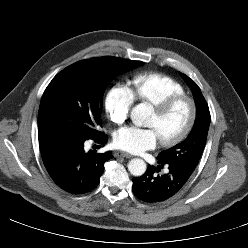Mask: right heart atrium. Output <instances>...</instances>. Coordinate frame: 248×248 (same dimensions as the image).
Masks as SVG:
<instances>
[{"instance_id":"1","label":"right heart atrium","mask_w":248,"mask_h":248,"mask_svg":"<svg viewBox=\"0 0 248 248\" xmlns=\"http://www.w3.org/2000/svg\"><path fill=\"white\" fill-rule=\"evenodd\" d=\"M133 102L128 88L120 84L109 88L104 97L105 109L115 124H122L127 119Z\"/></svg>"}]
</instances>
